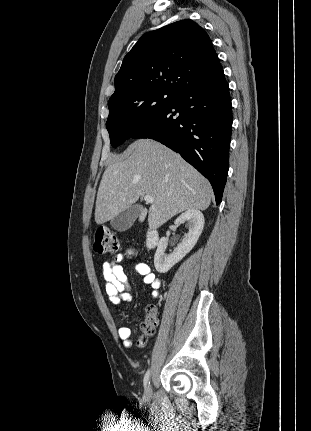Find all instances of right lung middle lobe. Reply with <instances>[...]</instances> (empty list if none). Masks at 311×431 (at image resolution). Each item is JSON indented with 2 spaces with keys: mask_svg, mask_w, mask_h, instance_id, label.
I'll return each instance as SVG.
<instances>
[{
  "mask_svg": "<svg viewBox=\"0 0 311 431\" xmlns=\"http://www.w3.org/2000/svg\"><path fill=\"white\" fill-rule=\"evenodd\" d=\"M177 96L178 93L174 92L148 90L110 99L106 127L111 145L118 147L131 138L143 126L166 110Z\"/></svg>",
  "mask_w": 311,
  "mask_h": 431,
  "instance_id": "dd1d6c3e",
  "label": "right lung middle lobe"
}]
</instances>
